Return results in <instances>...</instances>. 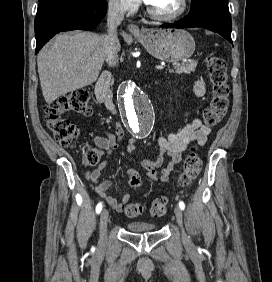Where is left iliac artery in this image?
<instances>
[{
  "instance_id": "obj_1",
  "label": "left iliac artery",
  "mask_w": 272,
  "mask_h": 282,
  "mask_svg": "<svg viewBox=\"0 0 272 282\" xmlns=\"http://www.w3.org/2000/svg\"><path fill=\"white\" fill-rule=\"evenodd\" d=\"M179 207H180L182 210H184L185 204H184L183 201H180V202H179Z\"/></svg>"
}]
</instances>
